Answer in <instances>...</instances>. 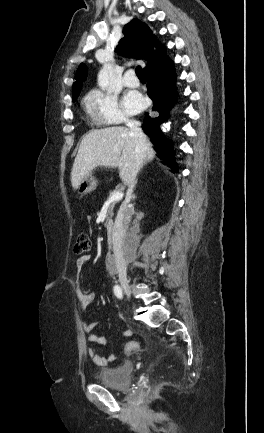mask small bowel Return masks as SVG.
<instances>
[{
    "label": "small bowel",
    "mask_w": 264,
    "mask_h": 433,
    "mask_svg": "<svg viewBox=\"0 0 264 433\" xmlns=\"http://www.w3.org/2000/svg\"><path fill=\"white\" fill-rule=\"evenodd\" d=\"M91 259L90 255H83L80 256L76 261V270L77 273L80 274L85 264ZM76 295L79 299V304L82 310H85L90 304L93 303L95 299V295L90 292H83L79 284L77 282V288H76ZM83 330L85 333L89 335L88 340L96 345H105L106 344V338L98 335L95 333V329L97 328V323L95 322H83L82 323ZM123 335L129 336L130 331H124ZM88 355L92 359V361L98 365V366H107L109 363L113 362L115 360V355L110 354L106 357L100 356L95 349L90 348L88 349Z\"/></svg>",
    "instance_id": "c3829d8e"
}]
</instances>
